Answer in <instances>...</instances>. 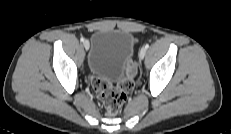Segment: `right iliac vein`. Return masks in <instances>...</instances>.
Listing matches in <instances>:
<instances>
[{
  "label": "right iliac vein",
  "instance_id": "right-iliac-vein-1",
  "mask_svg": "<svg viewBox=\"0 0 231 134\" xmlns=\"http://www.w3.org/2000/svg\"><path fill=\"white\" fill-rule=\"evenodd\" d=\"M83 46H84V48H85L86 50H88L89 47H90V44H89V42H88L87 40H85V41L83 42Z\"/></svg>",
  "mask_w": 231,
  "mask_h": 134
}]
</instances>
